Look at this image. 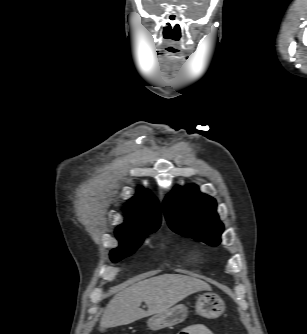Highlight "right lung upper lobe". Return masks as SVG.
<instances>
[{
  "instance_id": "obj_1",
  "label": "right lung upper lobe",
  "mask_w": 307,
  "mask_h": 334,
  "mask_svg": "<svg viewBox=\"0 0 307 334\" xmlns=\"http://www.w3.org/2000/svg\"><path fill=\"white\" fill-rule=\"evenodd\" d=\"M127 210L125 223L115 231L117 237L136 236L160 226L159 203L149 192L138 193L130 199Z\"/></svg>"
}]
</instances>
